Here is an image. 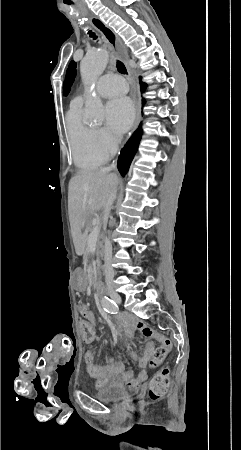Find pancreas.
I'll return each mask as SVG.
<instances>
[{
  "label": "pancreas",
  "mask_w": 241,
  "mask_h": 450,
  "mask_svg": "<svg viewBox=\"0 0 241 450\" xmlns=\"http://www.w3.org/2000/svg\"><path fill=\"white\" fill-rule=\"evenodd\" d=\"M86 234H87V230H85ZM89 232H92V230H89ZM101 242H99V240H97V246H100ZM99 254V252H98Z\"/></svg>",
  "instance_id": "cf45deb5"
}]
</instances>
